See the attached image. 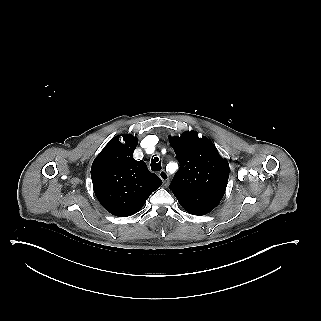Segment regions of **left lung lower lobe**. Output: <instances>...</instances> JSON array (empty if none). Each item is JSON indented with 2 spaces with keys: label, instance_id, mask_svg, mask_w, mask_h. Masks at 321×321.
<instances>
[{
  "label": "left lung lower lobe",
  "instance_id": "1",
  "mask_svg": "<svg viewBox=\"0 0 321 321\" xmlns=\"http://www.w3.org/2000/svg\"><path fill=\"white\" fill-rule=\"evenodd\" d=\"M225 191H210L204 193L174 194L180 205L190 214L205 215L213 210L221 201Z\"/></svg>",
  "mask_w": 321,
  "mask_h": 321
}]
</instances>
